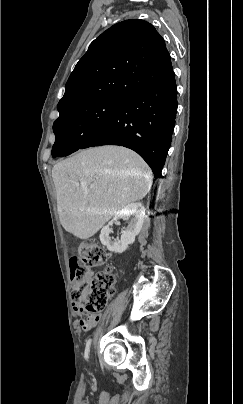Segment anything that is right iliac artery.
<instances>
[{"label": "right iliac artery", "instance_id": "82829eb1", "mask_svg": "<svg viewBox=\"0 0 243 404\" xmlns=\"http://www.w3.org/2000/svg\"><path fill=\"white\" fill-rule=\"evenodd\" d=\"M90 345H91V339H88L87 343H86V347H85V353H84V357L86 360H88V358H89Z\"/></svg>", "mask_w": 243, "mask_h": 404}]
</instances>
